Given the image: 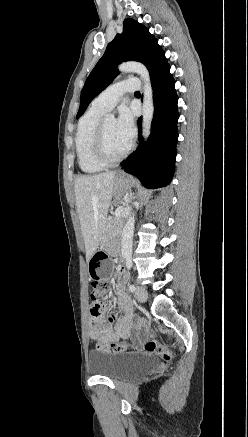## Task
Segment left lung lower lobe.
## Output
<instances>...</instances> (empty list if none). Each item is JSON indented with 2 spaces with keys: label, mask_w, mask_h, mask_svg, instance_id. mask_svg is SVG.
<instances>
[{
  "label": "left lung lower lobe",
  "mask_w": 248,
  "mask_h": 437,
  "mask_svg": "<svg viewBox=\"0 0 248 437\" xmlns=\"http://www.w3.org/2000/svg\"><path fill=\"white\" fill-rule=\"evenodd\" d=\"M151 83L154 99L152 132L147 142H143L140 117L139 147L128 156L123 170L137 176L145 187L155 189L167 186L173 177L179 115L169 64L151 78Z\"/></svg>",
  "instance_id": "left-lung-lower-lobe-1"
}]
</instances>
